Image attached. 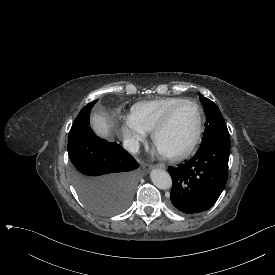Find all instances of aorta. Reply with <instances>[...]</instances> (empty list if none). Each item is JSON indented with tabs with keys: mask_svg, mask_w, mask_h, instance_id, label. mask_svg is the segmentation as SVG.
<instances>
[{
	"mask_svg": "<svg viewBox=\"0 0 275 275\" xmlns=\"http://www.w3.org/2000/svg\"><path fill=\"white\" fill-rule=\"evenodd\" d=\"M153 184L162 190L170 189L172 186V179L170 175L162 169H153L150 173Z\"/></svg>",
	"mask_w": 275,
	"mask_h": 275,
	"instance_id": "762f6f07",
	"label": "aorta"
}]
</instances>
